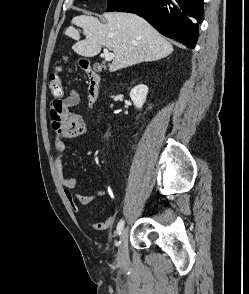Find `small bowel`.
<instances>
[{
    "label": "small bowel",
    "instance_id": "small-bowel-1",
    "mask_svg": "<svg viewBox=\"0 0 249 294\" xmlns=\"http://www.w3.org/2000/svg\"><path fill=\"white\" fill-rule=\"evenodd\" d=\"M79 102V92L76 89H71L63 99L52 101L50 104V116L55 129L54 166L59 182L64 190L65 197L75 212L79 211L81 205L88 204L95 197L106 194L110 191V187L106 186L103 188L89 190L88 194H77L74 191L78 185L77 179L65 175L62 161L65 151V141L83 136L88 132V126L83 117L70 111V109L77 106ZM105 205H107V202L97 205L93 209L89 210L87 215H94L97 210ZM112 223L113 217L109 216L103 221L90 222L89 225L95 230L102 231L108 229Z\"/></svg>",
    "mask_w": 249,
    "mask_h": 294
}]
</instances>
